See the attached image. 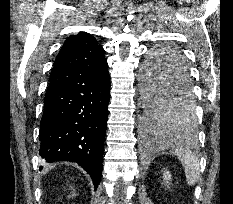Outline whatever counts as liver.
<instances>
[{"instance_id":"6515ba94","label":"liver","mask_w":233,"mask_h":204,"mask_svg":"<svg viewBox=\"0 0 233 204\" xmlns=\"http://www.w3.org/2000/svg\"><path fill=\"white\" fill-rule=\"evenodd\" d=\"M54 168V165H51L48 169L45 170V173L49 170V169H52Z\"/></svg>"}]
</instances>
